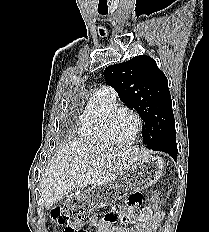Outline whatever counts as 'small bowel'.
I'll return each instance as SVG.
<instances>
[{
	"instance_id": "obj_1",
	"label": "small bowel",
	"mask_w": 209,
	"mask_h": 232,
	"mask_svg": "<svg viewBox=\"0 0 209 232\" xmlns=\"http://www.w3.org/2000/svg\"><path fill=\"white\" fill-rule=\"evenodd\" d=\"M144 198L143 190H132L131 194H127L125 213H138L136 215L137 224L134 227H112L105 220H98L95 223L97 232H155L164 217V213L150 207H144L138 212ZM84 225L85 223H82L81 226ZM82 231L86 232L84 229Z\"/></svg>"
}]
</instances>
